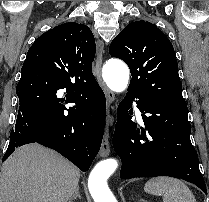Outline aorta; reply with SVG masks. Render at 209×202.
<instances>
[{"instance_id": "aorta-1", "label": "aorta", "mask_w": 209, "mask_h": 202, "mask_svg": "<svg viewBox=\"0 0 209 202\" xmlns=\"http://www.w3.org/2000/svg\"><path fill=\"white\" fill-rule=\"evenodd\" d=\"M103 78L112 91L122 92L128 85L129 69L121 61L110 60L103 67ZM117 166L114 158H108L97 163L92 169L88 178V188L94 202H117L107 185V179Z\"/></svg>"}]
</instances>
